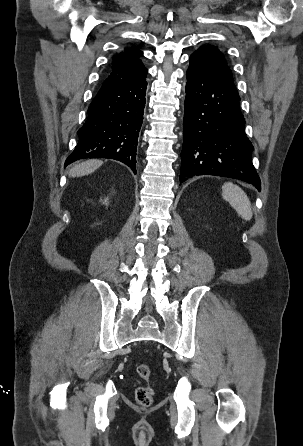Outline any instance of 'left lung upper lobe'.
Here are the masks:
<instances>
[{"label":"left lung upper lobe","mask_w":303,"mask_h":446,"mask_svg":"<svg viewBox=\"0 0 303 446\" xmlns=\"http://www.w3.org/2000/svg\"><path fill=\"white\" fill-rule=\"evenodd\" d=\"M191 56L201 57L206 63L233 80L232 71L222 52L215 46H201Z\"/></svg>","instance_id":"obj_1"}]
</instances>
